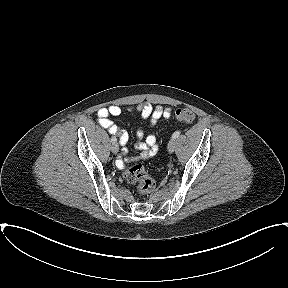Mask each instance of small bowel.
<instances>
[{
	"instance_id": "1",
	"label": "small bowel",
	"mask_w": 288,
	"mask_h": 288,
	"mask_svg": "<svg viewBox=\"0 0 288 288\" xmlns=\"http://www.w3.org/2000/svg\"><path fill=\"white\" fill-rule=\"evenodd\" d=\"M130 114H139L142 119L149 120L151 126H155L157 122L163 119H169L171 115V109H164L161 106L153 107L149 103H144L136 107L128 108ZM122 113L120 106L111 105L109 107L100 108L97 112L99 124L107 129L111 134L119 138V142L122 146L126 145L129 140L128 133L117 126L113 121L109 119V116H119ZM137 142L135 148L140 151L141 159H148L156 154L158 151V140L154 133L145 134L142 129H139L136 133ZM127 153V149L123 148V154ZM126 161H136V157H127ZM118 167L122 168L124 162L122 159L117 161Z\"/></svg>"
}]
</instances>
